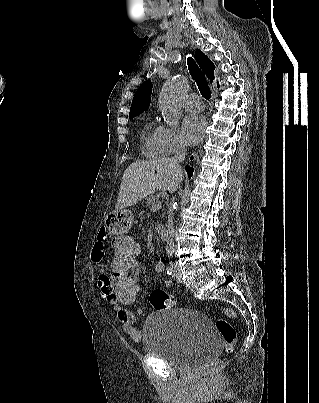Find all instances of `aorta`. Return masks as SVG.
Segmentation results:
<instances>
[{"label": "aorta", "instance_id": "aorta-1", "mask_svg": "<svg viewBox=\"0 0 319 403\" xmlns=\"http://www.w3.org/2000/svg\"><path fill=\"white\" fill-rule=\"evenodd\" d=\"M186 88V79L177 75L166 81L161 90L159 108L164 121L170 126L176 125L182 117V98Z\"/></svg>", "mask_w": 319, "mask_h": 403}]
</instances>
